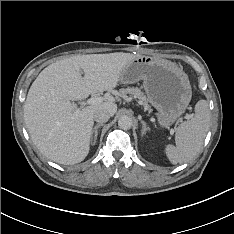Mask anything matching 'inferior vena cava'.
Wrapping results in <instances>:
<instances>
[{"instance_id":"602c4592","label":"inferior vena cava","mask_w":234,"mask_h":234,"mask_svg":"<svg viewBox=\"0 0 234 234\" xmlns=\"http://www.w3.org/2000/svg\"><path fill=\"white\" fill-rule=\"evenodd\" d=\"M111 114L105 109H98L94 112L93 118L98 123H105L109 120Z\"/></svg>"}]
</instances>
